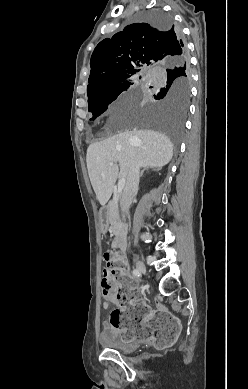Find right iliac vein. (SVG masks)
Listing matches in <instances>:
<instances>
[{
  "label": "right iliac vein",
  "instance_id": "right-iliac-vein-1",
  "mask_svg": "<svg viewBox=\"0 0 248 389\" xmlns=\"http://www.w3.org/2000/svg\"><path fill=\"white\" fill-rule=\"evenodd\" d=\"M136 266H137L138 271L141 274H145L146 273V266L144 265V263L142 261L138 260L136 262Z\"/></svg>",
  "mask_w": 248,
  "mask_h": 389
}]
</instances>
